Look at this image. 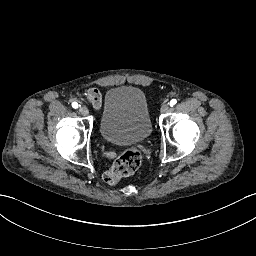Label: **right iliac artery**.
<instances>
[{
	"label": "right iliac artery",
	"instance_id": "1",
	"mask_svg": "<svg viewBox=\"0 0 256 256\" xmlns=\"http://www.w3.org/2000/svg\"><path fill=\"white\" fill-rule=\"evenodd\" d=\"M78 106H79V105H78V103H77V102H73V103H72V107H73V108H75V109H76V108H78Z\"/></svg>",
	"mask_w": 256,
	"mask_h": 256
}]
</instances>
